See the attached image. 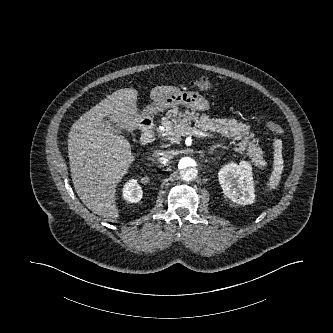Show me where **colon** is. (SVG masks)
<instances>
[{
  "label": "colon",
  "mask_w": 333,
  "mask_h": 333,
  "mask_svg": "<svg viewBox=\"0 0 333 333\" xmlns=\"http://www.w3.org/2000/svg\"><path fill=\"white\" fill-rule=\"evenodd\" d=\"M191 85L198 90H209L212 88V83L205 77L194 80ZM266 126L273 134L281 135L283 133L282 127L273 121L266 122Z\"/></svg>",
  "instance_id": "obj_1"
}]
</instances>
